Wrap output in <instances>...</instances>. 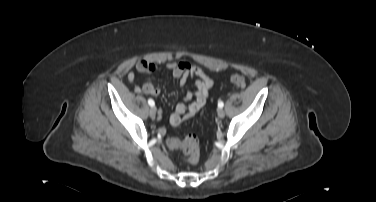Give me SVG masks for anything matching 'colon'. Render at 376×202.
Segmentation results:
<instances>
[{"mask_svg":"<svg viewBox=\"0 0 376 202\" xmlns=\"http://www.w3.org/2000/svg\"><path fill=\"white\" fill-rule=\"evenodd\" d=\"M230 82L237 88H243L245 86V78L240 74H232L230 76ZM167 145L172 150H180L185 162L188 164H197L200 159V145L199 139L194 134H189L183 138L170 137L167 140Z\"/></svg>","mask_w":376,"mask_h":202,"instance_id":"5ec220e1","label":"colon"}]
</instances>
